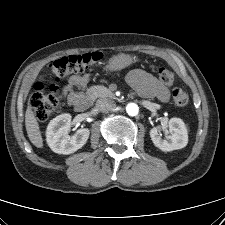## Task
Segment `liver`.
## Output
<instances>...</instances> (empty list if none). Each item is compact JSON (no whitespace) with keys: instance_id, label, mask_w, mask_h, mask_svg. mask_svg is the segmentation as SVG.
<instances>
[{"instance_id":"1","label":"liver","mask_w":225,"mask_h":225,"mask_svg":"<svg viewBox=\"0 0 225 225\" xmlns=\"http://www.w3.org/2000/svg\"><path fill=\"white\" fill-rule=\"evenodd\" d=\"M25 126L31 143L37 148H42L43 139L39 129V124L30 106H28L26 109Z\"/></svg>"}]
</instances>
